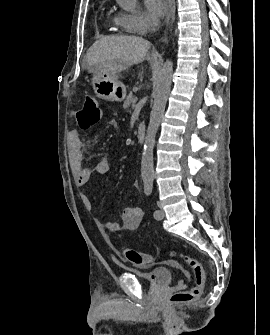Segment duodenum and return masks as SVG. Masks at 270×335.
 <instances>
[{
    "label": "duodenum",
    "mask_w": 270,
    "mask_h": 335,
    "mask_svg": "<svg viewBox=\"0 0 270 335\" xmlns=\"http://www.w3.org/2000/svg\"><path fill=\"white\" fill-rule=\"evenodd\" d=\"M146 136V130L143 125L139 126L136 131V138L139 143H143Z\"/></svg>",
    "instance_id": "1"
}]
</instances>
